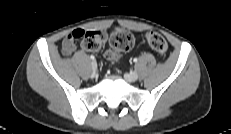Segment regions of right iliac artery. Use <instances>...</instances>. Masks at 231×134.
Segmentation results:
<instances>
[{
  "label": "right iliac artery",
  "mask_w": 231,
  "mask_h": 134,
  "mask_svg": "<svg viewBox=\"0 0 231 134\" xmlns=\"http://www.w3.org/2000/svg\"><path fill=\"white\" fill-rule=\"evenodd\" d=\"M90 58H91L92 60H94V59H95L94 55H91V56H90Z\"/></svg>",
  "instance_id": "82829eb1"
}]
</instances>
